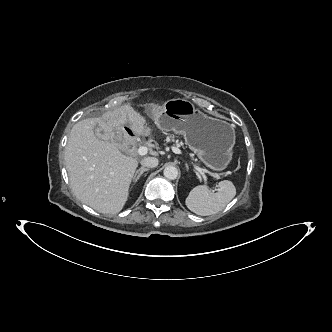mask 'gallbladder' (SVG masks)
<instances>
[{
  "label": "gallbladder",
  "instance_id": "obj_1",
  "mask_svg": "<svg viewBox=\"0 0 332 332\" xmlns=\"http://www.w3.org/2000/svg\"><path fill=\"white\" fill-rule=\"evenodd\" d=\"M97 136H98L99 138H102V136H101L100 134H98V133H97Z\"/></svg>",
  "mask_w": 332,
  "mask_h": 332
}]
</instances>
